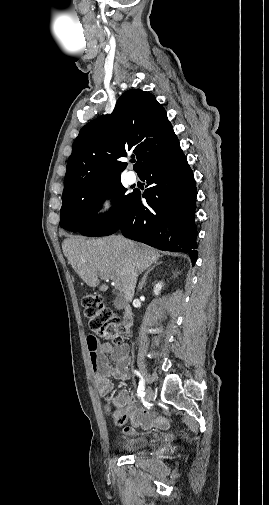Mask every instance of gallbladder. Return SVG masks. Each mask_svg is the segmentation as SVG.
I'll list each match as a JSON object with an SVG mask.
<instances>
[{"label": "gallbladder", "mask_w": 269, "mask_h": 505, "mask_svg": "<svg viewBox=\"0 0 269 505\" xmlns=\"http://www.w3.org/2000/svg\"><path fill=\"white\" fill-rule=\"evenodd\" d=\"M114 306L116 309L120 310V309H123L124 306H125V301L122 297H119L117 298L115 301H114Z\"/></svg>", "instance_id": "obj_1"}]
</instances>
